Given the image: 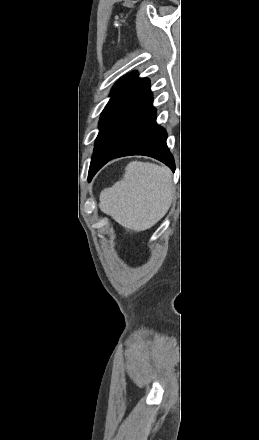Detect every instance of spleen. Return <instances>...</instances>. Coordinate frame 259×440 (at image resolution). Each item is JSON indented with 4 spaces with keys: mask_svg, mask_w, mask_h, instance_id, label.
Segmentation results:
<instances>
[{
    "mask_svg": "<svg viewBox=\"0 0 259 440\" xmlns=\"http://www.w3.org/2000/svg\"><path fill=\"white\" fill-rule=\"evenodd\" d=\"M175 195L169 168L149 162H130L112 187L100 194L99 207L120 225L144 231L169 210Z\"/></svg>",
    "mask_w": 259,
    "mask_h": 440,
    "instance_id": "3e777b00",
    "label": "spleen"
}]
</instances>
